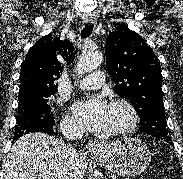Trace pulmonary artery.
Wrapping results in <instances>:
<instances>
[{
	"label": "pulmonary artery",
	"mask_w": 183,
	"mask_h": 179,
	"mask_svg": "<svg viewBox=\"0 0 183 179\" xmlns=\"http://www.w3.org/2000/svg\"><path fill=\"white\" fill-rule=\"evenodd\" d=\"M104 81V73L101 71H95L80 81L79 88L88 90L98 89L104 84Z\"/></svg>",
	"instance_id": "1"
}]
</instances>
